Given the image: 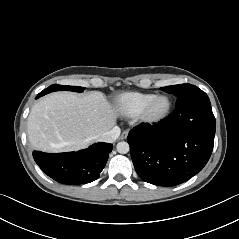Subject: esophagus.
I'll return each mask as SVG.
<instances>
[{"instance_id": "34e87169", "label": "esophagus", "mask_w": 239, "mask_h": 239, "mask_svg": "<svg viewBox=\"0 0 239 239\" xmlns=\"http://www.w3.org/2000/svg\"><path fill=\"white\" fill-rule=\"evenodd\" d=\"M128 130H124L123 132H122V134H121V136H120V138L123 140V139H126L127 138V136H128Z\"/></svg>"}]
</instances>
